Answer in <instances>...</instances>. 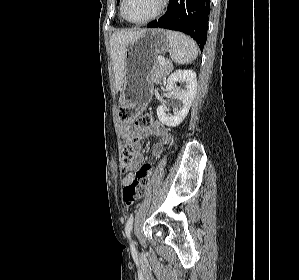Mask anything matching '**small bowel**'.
I'll return each instance as SVG.
<instances>
[{"label":"small bowel","instance_id":"c3829d8e","mask_svg":"<svg viewBox=\"0 0 299 280\" xmlns=\"http://www.w3.org/2000/svg\"><path fill=\"white\" fill-rule=\"evenodd\" d=\"M145 128L146 133H133L132 126H127L124 129L125 135L135 140L133 145V157L130 162L124 164L123 167L125 174L123 178L124 186L135 179L138 167L144 163L145 158L139 141L149 136L158 137L159 140L153 144L151 152L154 156H159L163 151L164 145L170 140L168 129L157 120L152 119L151 123Z\"/></svg>","mask_w":299,"mask_h":280}]
</instances>
